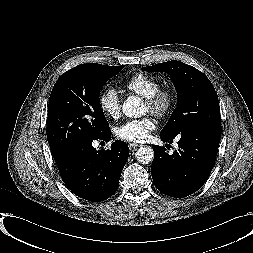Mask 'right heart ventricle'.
I'll use <instances>...</instances> for the list:
<instances>
[{
	"label": "right heart ventricle",
	"mask_w": 253,
	"mask_h": 253,
	"mask_svg": "<svg viewBox=\"0 0 253 253\" xmlns=\"http://www.w3.org/2000/svg\"><path fill=\"white\" fill-rule=\"evenodd\" d=\"M125 87L128 91L145 99L157 92L161 88V83L153 77L137 73L127 80Z\"/></svg>",
	"instance_id": "obj_1"
}]
</instances>
